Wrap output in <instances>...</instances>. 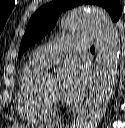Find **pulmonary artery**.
Segmentation results:
<instances>
[{"instance_id": "e3ab8cb5", "label": "pulmonary artery", "mask_w": 125, "mask_h": 128, "mask_svg": "<svg viewBox=\"0 0 125 128\" xmlns=\"http://www.w3.org/2000/svg\"><path fill=\"white\" fill-rule=\"evenodd\" d=\"M91 42L92 36L88 34L65 36L54 44L37 49L30 60L42 68H47L72 53L89 49Z\"/></svg>"}]
</instances>
